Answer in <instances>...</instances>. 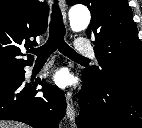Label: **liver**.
<instances>
[{"instance_id":"1","label":"liver","mask_w":142,"mask_h":128,"mask_svg":"<svg viewBox=\"0 0 142 128\" xmlns=\"http://www.w3.org/2000/svg\"><path fill=\"white\" fill-rule=\"evenodd\" d=\"M0 128H29L27 125L18 122L0 121Z\"/></svg>"}]
</instances>
